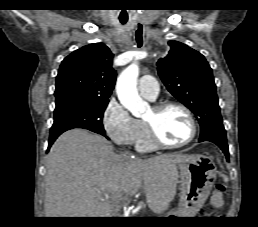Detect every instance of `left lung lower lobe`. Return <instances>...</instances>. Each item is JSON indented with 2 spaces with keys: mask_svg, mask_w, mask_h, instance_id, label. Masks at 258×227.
I'll use <instances>...</instances> for the list:
<instances>
[{
  "mask_svg": "<svg viewBox=\"0 0 258 227\" xmlns=\"http://www.w3.org/2000/svg\"><path fill=\"white\" fill-rule=\"evenodd\" d=\"M207 141L213 142L216 145H218L224 154L226 155V159H229V152H228V145H227V140H221V139H209Z\"/></svg>",
  "mask_w": 258,
  "mask_h": 227,
  "instance_id": "left-lung-lower-lobe-1",
  "label": "left lung lower lobe"
}]
</instances>
